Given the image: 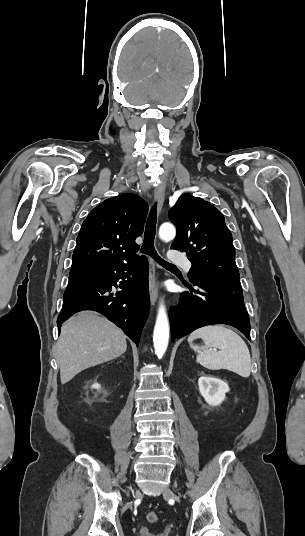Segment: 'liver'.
<instances>
[{
	"label": "liver",
	"mask_w": 305,
	"mask_h": 536,
	"mask_svg": "<svg viewBox=\"0 0 305 536\" xmlns=\"http://www.w3.org/2000/svg\"><path fill=\"white\" fill-rule=\"evenodd\" d=\"M124 332L95 312H78L61 328L57 364L61 384L91 366L119 358L127 350Z\"/></svg>",
	"instance_id": "liver-1"
}]
</instances>
